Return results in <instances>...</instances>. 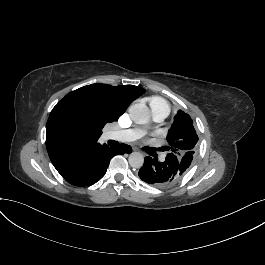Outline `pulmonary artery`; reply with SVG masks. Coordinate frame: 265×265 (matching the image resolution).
I'll return each instance as SVG.
<instances>
[{
    "label": "pulmonary artery",
    "mask_w": 265,
    "mask_h": 265,
    "mask_svg": "<svg viewBox=\"0 0 265 265\" xmlns=\"http://www.w3.org/2000/svg\"><path fill=\"white\" fill-rule=\"evenodd\" d=\"M170 104L168 102H163L152 108V113L154 114V120L156 122H161L163 118L169 116ZM143 136V131L140 128H135L131 130L127 129H115L113 131V138L115 140H135L136 138H141Z\"/></svg>",
    "instance_id": "1"
}]
</instances>
